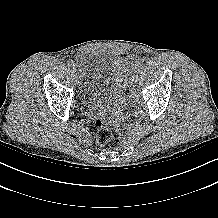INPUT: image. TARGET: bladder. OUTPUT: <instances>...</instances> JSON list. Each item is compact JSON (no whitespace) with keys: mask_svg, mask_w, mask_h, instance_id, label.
<instances>
[{"mask_svg":"<svg viewBox=\"0 0 218 218\" xmlns=\"http://www.w3.org/2000/svg\"><path fill=\"white\" fill-rule=\"evenodd\" d=\"M135 67L128 56L105 57L90 52L76 56L75 68L79 75V99L88 109L109 108L124 90Z\"/></svg>","mask_w":218,"mask_h":218,"instance_id":"bladder-1","label":"bladder"}]
</instances>
